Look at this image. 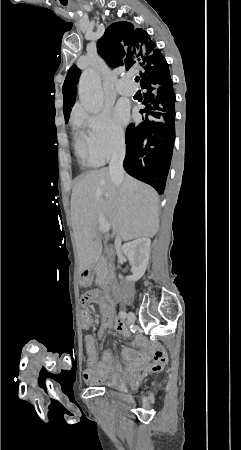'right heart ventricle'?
Wrapping results in <instances>:
<instances>
[{
    "mask_svg": "<svg viewBox=\"0 0 241 450\" xmlns=\"http://www.w3.org/2000/svg\"><path fill=\"white\" fill-rule=\"evenodd\" d=\"M89 126V125H88ZM85 130H74V147L79 161L88 167H96L103 163L95 155H87L85 153Z\"/></svg>",
    "mask_w": 241,
    "mask_h": 450,
    "instance_id": "1",
    "label": "right heart ventricle"
}]
</instances>
